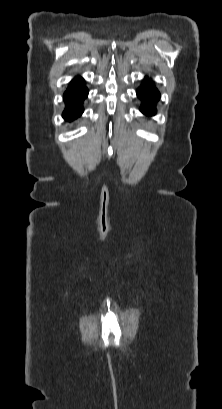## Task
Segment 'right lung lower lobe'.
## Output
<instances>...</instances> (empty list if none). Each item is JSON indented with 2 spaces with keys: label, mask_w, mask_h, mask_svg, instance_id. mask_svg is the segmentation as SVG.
I'll list each match as a JSON object with an SVG mask.
<instances>
[{
  "label": "right lung lower lobe",
  "mask_w": 222,
  "mask_h": 409,
  "mask_svg": "<svg viewBox=\"0 0 222 409\" xmlns=\"http://www.w3.org/2000/svg\"><path fill=\"white\" fill-rule=\"evenodd\" d=\"M88 95V89L84 86L81 78H75L64 94L66 109L63 118L72 121L83 113L82 102Z\"/></svg>",
  "instance_id": "98d812e1"
}]
</instances>
